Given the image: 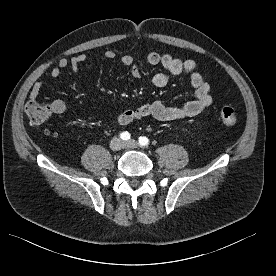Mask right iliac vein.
Wrapping results in <instances>:
<instances>
[{
	"label": "right iliac vein",
	"mask_w": 276,
	"mask_h": 276,
	"mask_svg": "<svg viewBox=\"0 0 276 276\" xmlns=\"http://www.w3.org/2000/svg\"><path fill=\"white\" fill-rule=\"evenodd\" d=\"M110 148L113 151H119L121 148H123V142L120 138L115 137L110 142Z\"/></svg>",
	"instance_id": "right-iliac-vein-1"
}]
</instances>
